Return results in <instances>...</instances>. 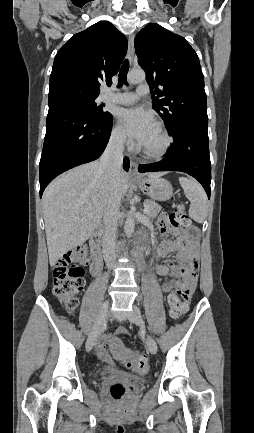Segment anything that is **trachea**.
I'll return each mask as SVG.
<instances>
[{"label": "trachea", "instance_id": "3493384b", "mask_svg": "<svg viewBox=\"0 0 254 433\" xmlns=\"http://www.w3.org/2000/svg\"><path fill=\"white\" fill-rule=\"evenodd\" d=\"M128 70H129V62L126 59L123 62L121 69L119 71V84H118L119 86H121L123 83H126Z\"/></svg>", "mask_w": 254, "mask_h": 433}]
</instances>
